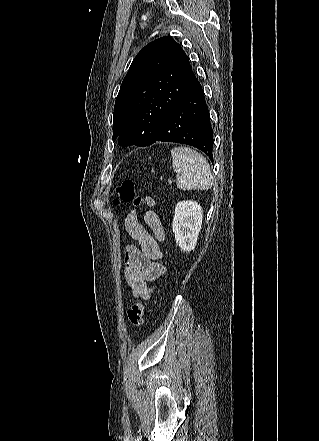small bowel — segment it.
Masks as SVG:
<instances>
[{
	"mask_svg": "<svg viewBox=\"0 0 319 441\" xmlns=\"http://www.w3.org/2000/svg\"><path fill=\"white\" fill-rule=\"evenodd\" d=\"M143 204L152 207L155 202L146 197ZM143 221L153 235L140 223L136 210H131L126 216L125 227L133 243L125 250L124 277L134 298L148 300L151 293L149 283L159 279L165 272L159 262L163 258L160 243L164 242L165 233L154 211H146Z\"/></svg>",
	"mask_w": 319,
	"mask_h": 441,
	"instance_id": "1",
	"label": "small bowel"
}]
</instances>
